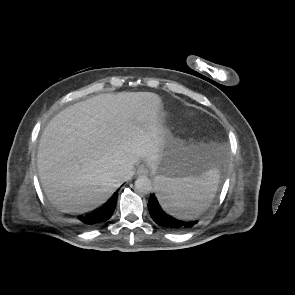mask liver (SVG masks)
<instances>
[{"instance_id":"liver-1","label":"liver","mask_w":295,"mask_h":295,"mask_svg":"<svg viewBox=\"0 0 295 295\" xmlns=\"http://www.w3.org/2000/svg\"><path fill=\"white\" fill-rule=\"evenodd\" d=\"M151 92L100 94L58 113L38 148L39 178L49 201L83 213L104 202L145 160L156 167L170 131Z\"/></svg>"}]
</instances>
